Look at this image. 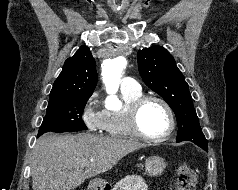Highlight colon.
<instances>
[{"label": "colon", "mask_w": 238, "mask_h": 190, "mask_svg": "<svg viewBox=\"0 0 238 190\" xmlns=\"http://www.w3.org/2000/svg\"><path fill=\"white\" fill-rule=\"evenodd\" d=\"M196 173L187 164H181L177 169L175 190H195Z\"/></svg>", "instance_id": "5ec220e1"}]
</instances>
